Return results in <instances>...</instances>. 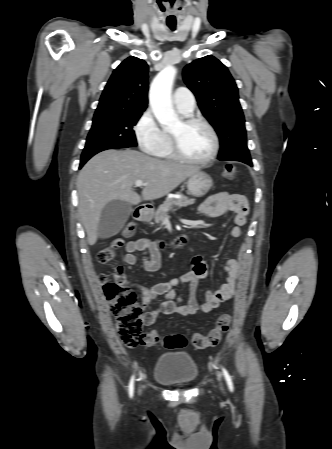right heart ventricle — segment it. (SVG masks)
Segmentation results:
<instances>
[{
  "label": "right heart ventricle",
  "instance_id": "1",
  "mask_svg": "<svg viewBox=\"0 0 332 449\" xmlns=\"http://www.w3.org/2000/svg\"><path fill=\"white\" fill-rule=\"evenodd\" d=\"M165 143L163 146L159 149V151L155 154L158 157L166 158V159H174L175 156L172 152L171 143H170V137L168 134H166Z\"/></svg>",
  "mask_w": 332,
  "mask_h": 449
}]
</instances>
